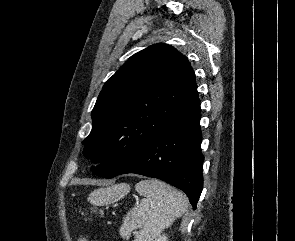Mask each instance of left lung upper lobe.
<instances>
[{"label":"left lung upper lobe","mask_w":295,"mask_h":241,"mask_svg":"<svg viewBox=\"0 0 295 241\" xmlns=\"http://www.w3.org/2000/svg\"><path fill=\"white\" fill-rule=\"evenodd\" d=\"M194 71L167 44L131 56L107 80L92 110V130L83 154L110 178L152 138L199 107Z\"/></svg>","instance_id":"5c2ea615"}]
</instances>
